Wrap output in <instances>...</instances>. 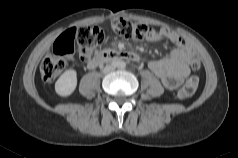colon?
<instances>
[{"mask_svg":"<svg viewBox=\"0 0 238 158\" xmlns=\"http://www.w3.org/2000/svg\"><path fill=\"white\" fill-rule=\"evenodd\" d=\"M114 32L126 39H143L156 33L152 27L124 18H114L111 21ZM104 34L97 27H74L63 33L55 42L53 52L41 64V76L44 81H53L66 67L68 59L78 52L81 60H88L94 50L102 43ZM191 69L199 70V63L193 62ZM199 79L191 76L177 92L180 100L191 97L197 90Z\"/></svg>","mask_w":238,"mask_h":158,"instance_id":"1","label":"colon"}]
</instances>
